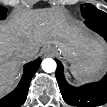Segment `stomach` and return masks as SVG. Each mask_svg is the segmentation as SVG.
Instances as JSON below:
<instances>
[{"label":"stomach","instance_id":"0dacf381","mask_svg":"<svg viewBox=\"0 0 107 107\" xmlns=\"http://www.w3.org/2000/svg\"><path fill=\"white\" fill-rule=\"evenodd\" d=\"M80 48V45L73 46L69 45L68 42H65L63 45H55L53 50L56 54L66 58L72 65H76L82 62L81 60L75 59L80 52Z\"/></svg>","mask_w":107,"mask_h":107}]
</instances>
